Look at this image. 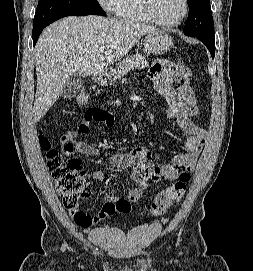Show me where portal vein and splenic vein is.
<instances>
[{
  "mask_svg": "<svg viewBox=\"0 0 253 271\" xmlns=\"http://www.w3.org/2000/svg\"><path fill=\"white\" fill-rule=\"evenodd\" d=\"M99 52H101V53L104 52V48H100Z\"/></svg>",
  "mask_w": 253,
  "mask_h": 271,
  "instance_id": "18ae733b",
  "label": "portal vein and splenic vein"
}]
</instances>
